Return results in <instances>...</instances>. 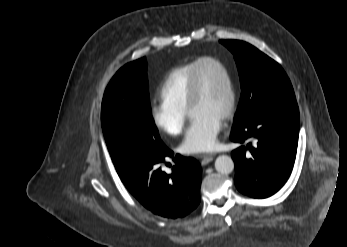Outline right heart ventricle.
I'll return each instance as SVG.
<instances>
[{
	"label": "right heart ventricle",
	"mask_w": 347,
	"mask_h": 247,
	"mask_svg": "<svg viewBox=\"0 0 347 247\" xmlns=\"http://www.w3.org/2000/svg\"><path fill=\"white\" fill-rule=\"evenodd\" d=\"M197 60L172 69L163 80L159 95L161 101L174 108L187 111L188 87Z\"/></svg>",
	"instance_id": "right-heart-ventricle-1"
}]
</instances>
